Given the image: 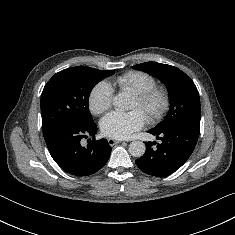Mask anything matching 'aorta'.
Segmentation results:
<instances>
[{
	"mask_svg": "<svg viewBox=\"0 0 235 235\" xmlns=\"http://www.w3.org/2000/svg\"><path fill=\"white\" fill-rule=\"evenodd\" d=\"M113 105L119 110H124L128 107V98L124 94H118L113 98ZM145 151L146 146L142 141H132L129 145V153L133 157L140 158Z\"/></svg>",
	"mask_w": 235,
	"mask_h": 235,
	"instance_id": "1",
	"label": "aorta"
}]
</instances>
